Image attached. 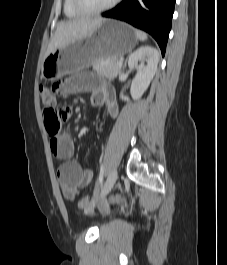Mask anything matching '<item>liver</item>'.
I'll use <instances>...</instances> for the list:
<instances>
[{
    "label": "liver",
    "instance_id": "liver-1",
    "mask_svg": "<svg viewBox=\"0 0 227 265\" xmlns=\"http://www.w3.org/2000/svg\"><path fill=\"white\" fill-rule=\"evenodd\" d=\"M102 18H78L60 22L50 40L45 57L54 49L87 37L102 23Z\"/></svg>",
    "mask_w": 227,
    "mask_h": 265
}]
</instances>
